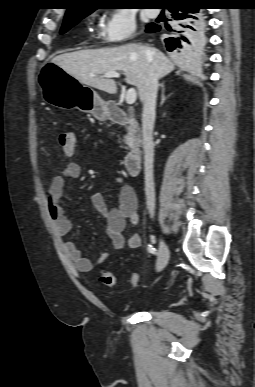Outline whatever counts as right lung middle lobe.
I'll use <instances>...</instances> for the list:
<instances>
[{"mask_svg": "<svg viewBox=\"0 0 255 387\" xmlns=\"http://www.w3.org/2000/svg\"><path fill=\"white\" fill-rule=\"evenodd\" d=\"M92 12L93 11H88V12H84V13H80V14H67V15H65L64 22H63L60 33L63 34L65 32H67L72 26L77 24L80 19L86 17L87 15H89Z\"/></svg>", "mask_w": 255, "mask_h": 387, "instance_id": "obj_1", "label": "right lung middle lobe"}]
</instances>
